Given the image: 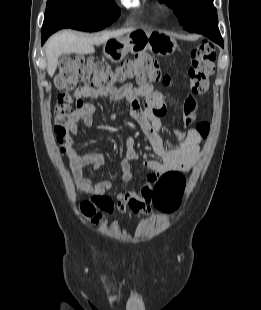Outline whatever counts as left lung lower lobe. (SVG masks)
Instances as JSON below:
<instances>
[{"label": "left lung lower lobe", "instance_id": "0a47b994", "mask_svg": "<svg viewBox=\"0 0 261 310\" xmlns=\"http://www.w3.org/2000/svg\"><path fill=\"white\" fill-rule=\"evenodd\" d=\"M187 31L200 33L223 46V40L218 29V23L210 20H203L202 22L190 26Z\"/></svg>", "mask_w": 261, "mask_h": 310}]
</instances>
